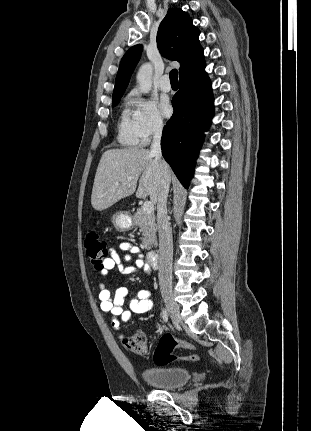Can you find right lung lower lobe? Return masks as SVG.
Wrapping results in <instances>:
<instances>
[{
    "mask_svg": "<svg viewBox=\"0 0 311 431\" xmlns=\"http://www.w3.org/2000/svg\"><path fill=\"white\" fill-rule=\"evenodd\" d=\"M205 64L180 79L179 92L172 99L174 113L163 129L164 159L185 188L193 175L195 160L214 111L211 83Z\"/></svg>",
    "mask_w": 311,
    "mask_h": 431,
    "instance_id": "1",
    "label": "right lung lower lobe"
}]
</instances>
